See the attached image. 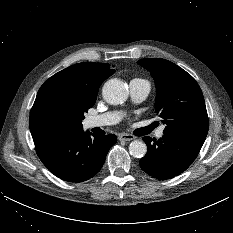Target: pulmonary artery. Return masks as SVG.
Wrapping results in <instances>:
<instances>
[{
	"instance_id": "pulmonary-artery-1",
	"label": "pulmonary artery",
	"mask_w": 233,
	"mask_h": 233,
	"mask_svg": "<svg viewBox=\"0 0 233 233\" xmlns=\"http://www.w3.org/2000/svg\"><path fill=\"white\" fill-rule=\"evenodd\" d=\"M130 94L134 102H142L149 94L150 84L147 80L136 78L129 83ZM121 119V113L109 112L102 115L91 116L87 119L86 124L89 128L103 127L116 124ZM164 127L162 126L157 132V137H162Z\"/></svg>"
}]
</instances>
